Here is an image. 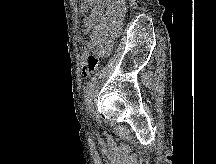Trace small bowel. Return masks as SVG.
<instances>
[{"instance_id":"1","label":"small bowel","mask_w":216,"mask_h":164,"mask_svg":"<svg viewBox=\"0 0 216 164\" xmlns=\"http://www.w3.org/2000/svg\"><path fill=\"white\" fill-rule=\"evenodd\" d=\"M82 11H90L85 26L90 38L84 43V53L106 56L117 38L125 13V0H82Z\"/></svg>"}]
</instances>
